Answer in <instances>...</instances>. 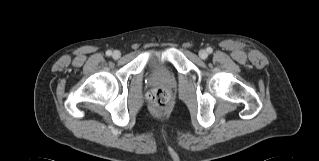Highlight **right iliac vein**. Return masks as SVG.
I'll use <instances>...</instances> for the list:
<instances>
[{
	"mask_svg": "<svg viewBox=\"0 0 319 161\" xmlns=\"http://www.w3.org/2000/svg\"><path fill=\"white\" fill-rule=\"evenodd\" d=\"M120 56H121V53H120L118 50H115V51L112 53V57H113L114 59H118Z\"/></svg>",
	"mask_w": 319,
	"mask_h": 161,
	"instance_id": "right-iliac-vein-1",
	"label": "right iliac vein"
}]
</instances>
